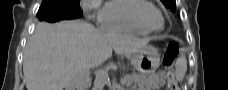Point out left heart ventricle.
Instances as JSON below:
<instances>
[{
    "label": "left heart ventricle",
    "mask_w": 228,
    "mask_h": 90,
    "mask_svg": "<svg viewBox=\"0 0 228 90\" xmlns=\"http://www.w3.org/2000/svg\"><path fill=\"white\" fill-rule=\"evenodd\" d=\"M146 19L152 28H160L162 26V20L155 10H148L146 13Z\"/></svg>",
    "instance_id": "obj_1"
}]
</instances>
